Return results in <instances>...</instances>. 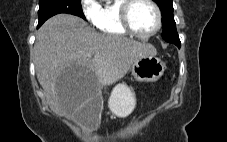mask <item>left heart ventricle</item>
<instances>
[{
	"instance_id": "left-heart-ventricle-1",
	"label": "left heart ventricle",
	"mask_w": 227,
	"mask_h": 142,
	"mask_svg": "<svg viewBox=\"0 0 227 142\" xmlns=\"http://www.w3.org/2000/svg\"><path fill=\"white\" fill-rule=\"evenodd\" d=\"M130 19L136 31L147 34L157 25V15L154 8L145 0H138L131 9Z\"/></svg>"
}]
</instances>
